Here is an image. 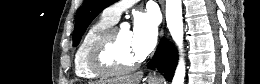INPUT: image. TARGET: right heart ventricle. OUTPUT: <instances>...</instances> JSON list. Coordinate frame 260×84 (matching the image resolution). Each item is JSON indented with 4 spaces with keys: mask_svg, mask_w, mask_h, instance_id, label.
<instances>
[{
    "mask_svg": "<svg viewBox=\"0 0 260 84\" xmlns=\"http://www.w3.org/2000/svg\"><path fill=\"white\" fill-rule=\"evenodd\" d=\"M113 24V21L102 14L86 31L75 54V70L79 77L93 80L103 76L90 67L91 48L96 38Z\"/></svg>",
    "mask_w": 260,
    "mask_h": 84,
    "instance_id": "1",
    "label": "right heart ventricle"
}]
</instances>
